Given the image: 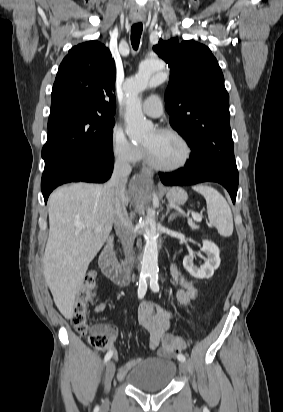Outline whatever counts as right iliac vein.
Masks as SVG:
<instances>
[{"label":"right iliac vein","mask_w":283,"mask_h":412,"mask_svg":"<svg viewBox=\"0 0 283 412\" xmlns=\"http://www.w3.org/2000/svg\"><path fill=\"white\" fill-rule=\"evenodd\" d=\"M115 373V364L113 361H109L106 364V368H105V375H104V381H105V392L108 393L109 388H110V384L112 381V378L114 376ZM109 404V400L108 398H105L103 401V407L106 408Z\"/></svg>","instance_id":"obj_1"}]
</instances>
